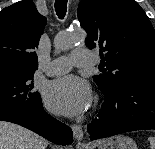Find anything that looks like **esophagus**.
I'll return each instance as SVG.
<instances>
[{
  "instance_id": "34e87169",
  "label": "esophagus",
  "mask_w": 155,
  "mask_h": 149,
  "mask_svg": "<svg viewBox=\"0 0 155 149\" xmlns=\"http://www.w3.org/2000/svg\"><path fill=\"white\" fill-rule=\"evenodd\" d=\"M73 136L77 141H81L83 139V131L80 125H72Z\"/></svg>"
}]
</instances>
